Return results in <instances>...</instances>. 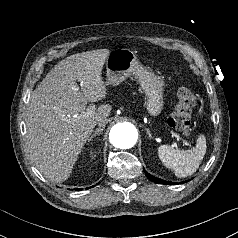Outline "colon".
<instances>
[{"label": "colon", "mask_w": 238, "mask_h": 238, "mask_svg": "<svg viewBox=\"0 0 238 238\" xmlns=\"http://www.w3.org/2000/svg\"><path fill=\"white\" fill-rule=\"evenodd\" d=\"M196 104L193 92L181 87L177 93V101L168 118V125L183 135H189L192 131L191 113Z\"/></svg>", "instance_id": "1"}]
</instances>
